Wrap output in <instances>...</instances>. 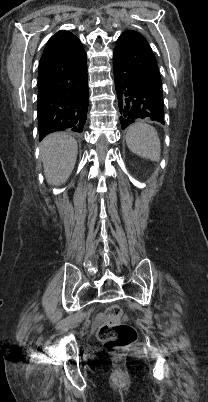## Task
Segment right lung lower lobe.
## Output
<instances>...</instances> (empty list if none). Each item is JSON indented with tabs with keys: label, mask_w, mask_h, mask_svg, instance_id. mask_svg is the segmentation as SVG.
I'll return each mask as SVG.
<instances>
[{
	"label": "right lung lower lobe",
	"mask_w": 208,
	"mask_h": 402,
	"mask_svg": "<svg viewBox=\"0 0 208 402\" xmlns=\"http://www.w3.org/2000/svg\"><path fill=\"white\" fill-rule=\"evenodd\" d=\"M86 53L72 33L46 45L38 72L39 140L55 131L81 133L87 118Z\"/></svg>",
	"instance_id": "98d812e1"
}]
</instances>
